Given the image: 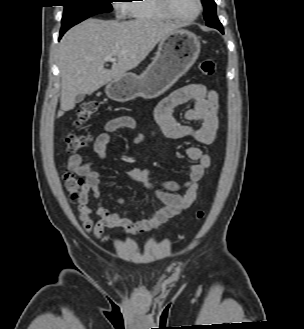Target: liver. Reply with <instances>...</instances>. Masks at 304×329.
I'll return each mask as SVG.
<instances>
[{"label": "liver", "instance_id": "obj_1", "mask_svg": "<svg viewBox=\"0 0 304 329\" xmlns=\"http://www.w3.org/2000/svg\"><path fill=\"white\" fill-rule=\"evenodd\" d=\"M178 28L171 22L144 19L124 22L87 19L71 28L58 49L62 79L58 117L74 109L77 94H92L110 81L120 79ZM108 56L118 59L111 69L104 67Z\"/></svg>", "mask_w": 304, "mask_h": 329}]
</instances>
